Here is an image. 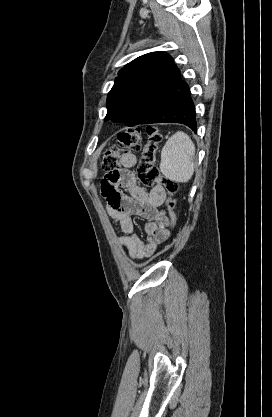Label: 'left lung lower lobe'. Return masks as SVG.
Returning a JSON list of instances; mask_svg holds the SVG:
<instances>
[{"label": "left lung lower lobe", "instance_id": "obj_1", "mask_svg": "<svg viewBox=\"0 0 272 417\" xmlns=\"http://www.w3.org/2000/svg\"><path fill=\"white\" fill-rule=\"evenodd\" d=\"M188 85L181 81L162 99L156 109L141 124L173 122L197 130L195 107L190 96Z\"/></svg>", "mask_w": 272, "mask_h": 417}]
</instances>
